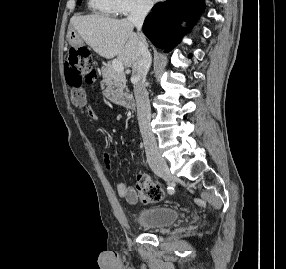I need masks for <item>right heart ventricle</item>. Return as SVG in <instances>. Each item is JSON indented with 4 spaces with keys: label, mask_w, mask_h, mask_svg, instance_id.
<instances>
[{
    "label": "right heart ventricle",
    "mask_w": 286,
    "mask_h": 269,
    "mask_svg": "<svg viewBox=\"0 0 286 269\" xmlns=\"http://www.w3.org/2000/svg\"><path fill=\"white\" fill-rule=\"evenodd\" d=\"M89 9L102 16H114L116 6L114 0H88Z\"/></svg>",
    "instance_id": "obj_1"
}]
</instances>
